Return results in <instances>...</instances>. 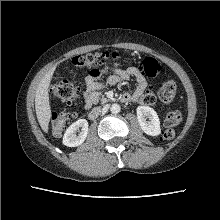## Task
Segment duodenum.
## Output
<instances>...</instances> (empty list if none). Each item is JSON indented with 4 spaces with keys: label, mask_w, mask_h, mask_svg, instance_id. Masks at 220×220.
I'll use <instances>...</instances> for the list:
<instances>
[{
    "label": "duodenum",
    "mask_w": 220,
    "mask_h": 220,
    "mask_svg": "<svg viewBox=\"0 0 220 220\" xmlns=\"http://www.w3.org/2000/svg\"><path fill=\"white\" fill-rule=\"evenodd\" d=\"M123 101L129 102L130 100L128 98H125ZM101 112L102 107H95L89 112L88 117L89 119L94 120L100 115Z\"/></svg>",
    "instance_id": "duodenum-1"
}]
</instances>
